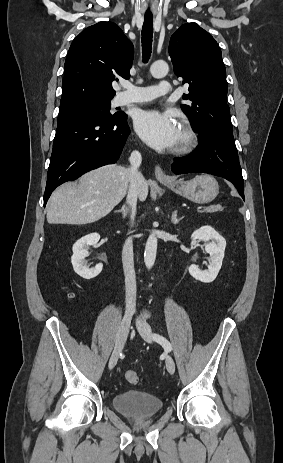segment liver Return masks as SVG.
I'll list each match as a JSON object with an SVG mask.
<instances>
[{"instance_id": "1", "label": "liver", "mask_w": 283, "mask_h": 463, "mask_svg": "<svg viewBox=\"0 0 283 463\" xmlns=\"http://www.w3.org/2000/svg\"><path fill=\"white\" fill-rule=\"evenodd\" d=\"M130 183L128 168L106 165L79 178L77 184L68 183L57 188L47 204L49 224L84 225L105 217L124 198ZM148 181L138 189L145 201Z\"/></svg>"}]
</instances>
